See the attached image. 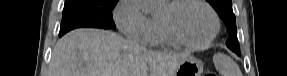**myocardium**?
<instances>
[{
    "instance_id": "obj_1",
    "label": "myocardium",
    "mask_w": 287,
    "mask_h": 76,
    "mask_svg": "<svg viewBox=\"0 0 287 76\" xmlns=\"http://www.w3.org/2000/svg\"><path fill=\"white\" fill-rule=\"evenodd\" d=\"M190 3H195L203 6L210 13L213 20V29L210 35L201 42H190L184 39L177 30L174 23V14L182 6ZM166 32L175 45L189 49H201L210 45L218 36L220 31V19L215 9L204 0H176L170 3L167 11L162 15Z\"/></svg>"
}]
</instances>
